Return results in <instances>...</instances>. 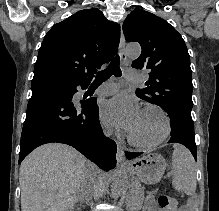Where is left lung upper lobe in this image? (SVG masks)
Returning a JSON list of instances; mask_svg holds the SVG:
<instances>
[{
	"instance_id": "obj_1",
	"label": "left lung upper lobe",
	"mask_w": 219,
	"mask_h": 211,
	"mask_svg": "<svg viewBox=\"0 0 219 211\" xmlns=\"http://www.w3.org/2000/svg\"><path fill=\"white\" fill-rule=\"evenodd\" d=\"M123 32L128 42H138L142 48L132 67L149 71L147 87L138 88L136 95L164 110L171 124H193L190 56L181 35L167 21L143 9L127 16Z\"/></svg>"
}]
</instances>
